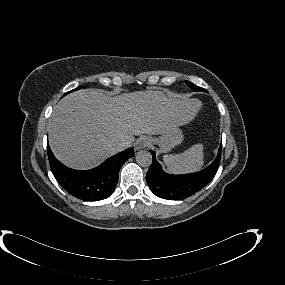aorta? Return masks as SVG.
I'll list each match as a JSON object with an SVG mask.
<instances>
[{
  "mask_svg": "<svg viewBox=\"0 0 285 285\" xmlns=\"http://www.w3.org/2000/svg\"><path fill=\"white\" fill-rule=\"evenodd\" d=\"M136 162L142 167H148L152 164V155L149 151L142 150L136 155Z\"/></svg>",
  "mask_w": 285,
  "mask_h": 285,
  "instance_id": "obj_1",
  "label": "aorta"
}]
</instances>
